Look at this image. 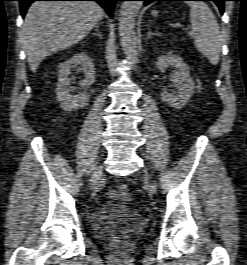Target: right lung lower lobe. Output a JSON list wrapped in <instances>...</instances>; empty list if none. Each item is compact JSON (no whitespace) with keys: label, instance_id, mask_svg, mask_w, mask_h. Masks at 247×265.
<instances>
[{"label":"right lung lower lobe","instance_id":"1","mask_svg":"<svg viewBox=\"0 0 247 265\" xmlns=\"http://www.w3.org/2000/svg\"><path fill=\"white\" fill-rule=\"evenodd\" d=\"M18 1L20 2V11L22 16H25L28 7L34 1H96L106 10L109 16L112 17L115 2L122 0H18Z\"/></svg>","mask_w":247,"mask_h":265}]
</instances>
